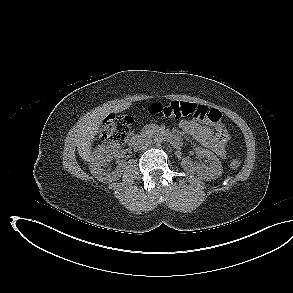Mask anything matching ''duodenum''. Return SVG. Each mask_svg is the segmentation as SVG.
<instances>
[{"mask_svg": "<svg viewBox=\"0 0 293 293\" xmlns=\"http://www.w3.org/2000/svg\"><path fill=\"white\" fill-rule=\"evenodd\" d=\"M149 132H154V133H157V134H160V135L164 136L174 146H179V144H180L179 138L175 134H173V133H171L169 131L162 130V129H150L148 131V133ZM148 133H144V134L134 136L130 141V146H132V147L139 146L144 141V139H145V137L147 136Z\"/></svg>", "mask_w": 293, "mask_h": 293, "instance_id": "duodenum-1", "label": "duodenum"}]
</instances>
